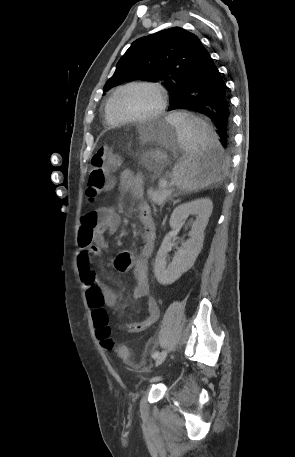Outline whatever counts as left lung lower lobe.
Returning a JSON list of instances; mask_svg holds the SVG:
<instances>
[{
  "label": "left lung lower lobe",
  "instance_id": "left-lung-lower-lobe-1",
  "mask_svg": "<svg viewBox=\"0 0 295 457\" xmlns=\"http://www.w3.org/2000/svg\"><path fill=\"white\" fill-rule=\"evenodd\" d=\"M187 79L169 110L189 109L207 116L215 125L218 141L224 148L231 143V117L226 86L222 76L202 46L188 67Z\"/></svg>",
  "mask_w": 295,
  "mask_h": 457
}]
</instances>
